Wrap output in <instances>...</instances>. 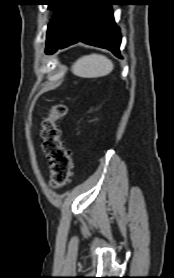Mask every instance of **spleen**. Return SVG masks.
I'll use <instances>...</instances> for the list:
<instances>
[{
  "label": "spleen",
  "instance_id": "spleen-1",
  "mask_svg": "<svg viewBox=\"0 0 174 278\" xmlns=\"http://www.w3.org/2000/svg\"><path fill=\"white\" fill-rule=\"evenodd\" d=\"M113 63L103 55L91 54L79 58L71 67L74 75L83 78H96L109 74Z\"/></svg>",
  "mask_w": 174,
  "mask_h": 278
}]
</instances>
